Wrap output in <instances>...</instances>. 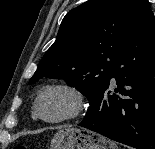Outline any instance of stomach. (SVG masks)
I'll return each mask as SVG.
<instances>
[{"instance_id": "0dacf381", "label": "stomach", "mask_w": 155, "mask_h": 149, "mask_svg": "<svg viewBox=\"0 0 155 149\" xmlns=\"http://www.w3.org/2000/svg\"><path fill=\"white\" fill-rule=\"evenodd\" d=\"M51 149H118L116 144L87 129L62 127L51 141Z\"/></svg>"}]
</instances>
